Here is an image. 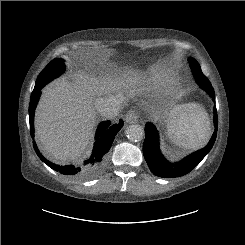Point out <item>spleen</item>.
<instances>
[{
    "mask_svg": "<svg viewBox=\"0 0 245 245\" xmlns=\"http://www.w3.org/2000/svg\"><path fill=\"white\" fill-rule=\"evenodd\" d=\"M167 129L171 141L186 149L204 147L211 136L208 114L195 103L183 105V111L178 118L169 120Z\"/></svg>",
    "mask_w": 245,
    "mask_h": 245,
    "instance_id": "spleen-1",
    "label": "spleen"
}]
</instances>
